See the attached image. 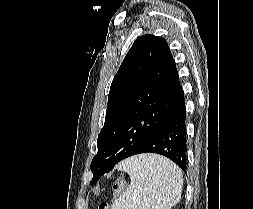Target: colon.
<instances>
[{
  "label": "colon",
  "mask_w": 253,
  "mask_h": 209,
  "mask_svg": "<svg viewBox=\"0 0 253 209\" xmlns=\"http://www.w3.org/2000/svg\"><path fill=\"white\" fill-rule=\"evenodd\" d=\"M124 186H125V181L122 178L118 179L113 187L114 188V197H117L121 194ZM99 209H109V204L106 202L101 203L99 206Z\"/></svg>",
  "instance_id": "1"
}]
</instances>
